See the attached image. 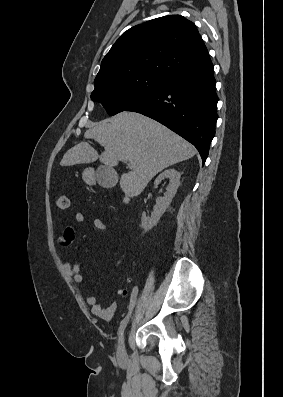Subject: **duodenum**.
Instances as JSON below:
<instances>
[{"label": "duodenum", "mask_w": 283, "mask_h": 397, "mask_svg": "<svg viewBox=\"0 0 283 397\" xmlns=\"http://www.w3.org/2000/svg\"><path fill=\"white\" fill-rule=\"evenodd\" d=\"M124 201H125V202H128V201H129V198H128V197H125V198H124Z\"/></svg>", "instance_id": "1"}]
</instances>
